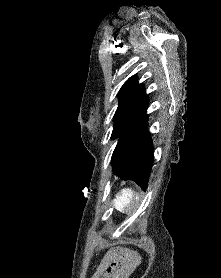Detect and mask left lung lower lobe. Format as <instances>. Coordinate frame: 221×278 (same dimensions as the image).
I'll use <instances>...</instances> for the list:
<instances>
[{
  "label": "left lung lower lobe",
  "mask_w": 221,
  "mask_h": 278,
  "mask_svg": "<svg viewBox=\"0 0 221 278\" xmlns=\"http://www.w3.org/2000/svg\"><path fill=\"white\" fill-rule=\"evenodd\" d=\"M146 110L137 119L125 137L117 144L112 155V168L116 176L131 179L147 188L154 161L151 134L147 129Z\"/></svg>",
  "instance_id": "0a47b994"
}]
</instances>
